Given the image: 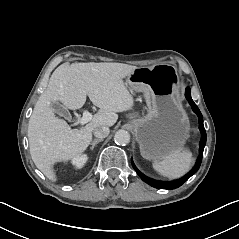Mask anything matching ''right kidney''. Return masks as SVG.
Returning <instances> with one entry per match:
<instances>
[{
	"mask_svg": "<svg viewBox=\"0 0 239 239\" xmlns=\"http://www.w3.org/2000/svg\"><path fill=\"white\" fill-rule=\"evenodd\" d=\"M87 160H88V156L86 154H83V155L74 157L71 163L75 167V169H81L83 168Z\"/></svg>",
	"mask_w": 239,
	"mask_h": 239,
	"instance_id": "ca27d5eb",
	"label": "right kidney"
}]
</instances>
